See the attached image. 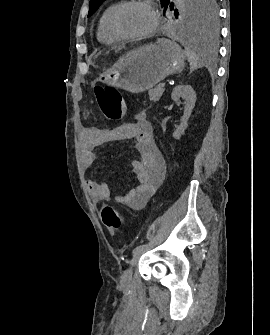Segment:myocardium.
<instances>
[{"instance_id":"obj_1","label":"myocardium","mask_w":270,"mask_h":335,"mask_svg":"<svg viewBox=\"0 0 270 335\" xmlns=\"http://www.w3.org/2000/svg\"><path fill=\"white\" fill-rule=\"evenodd\" d=\"M128 5H139V6H141L152 17L153 24L147 32L141 33V34H131V33H127L125 31L121 30L118 27L117 22H116L117 17L119 15V13ZM158 23H159V17L157 15V13L151 7L144 4L143 2L135 1V0L120 3L116 8H114L112 10V12L110 13V15L108 17V28H109L110 32L113 35H115V36H117L121 39H127V40H141V39L147 38L148 36H150L156 30V28L158 26ZM133 52H138V51L135 50Z\"/></svg>"}]
</instances>
